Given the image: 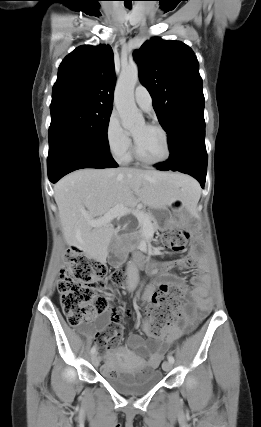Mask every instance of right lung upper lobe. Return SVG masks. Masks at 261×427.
Returning <instances> with one entry per match:
<instances>
[{
	"label": "right lung upper lobe",
	"instance_id": "right-lung-upper-lobe-1",
	"mask_svg": "<svg viewBox=\"0 0 261 427\" xmlns=\"http://www.w3.org/2000/svg\"><path fill=\"white\" fill-rule=\"evenodd\" d=\"M114 86L111 47L80 46L66 56L59 66L50 109L67 105L112 108Z\"/></svg>",
	"mask_w": 261,
	"mask_h": 427
}]
</instances>
